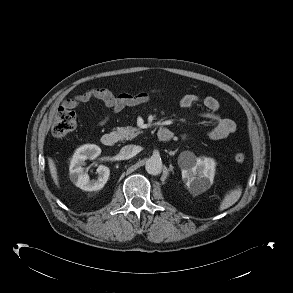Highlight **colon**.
<instances>
[{"label":"colon","instance_id":"5ec220e1","mask_svg":"<svg viewBox=\"0 0 293 293\" xmlns=\"http://www.w3.org/2000/svg\"><path fill=\"white\" fill-rule=\"evenodd\" d=\"M152 92L160 93V89H153ZM77 125L75 113L64 108L60 107L54 117L52 124V134L56 138H64L69 133H71ZM246 159L244 153H237L235 155V161L238 163L243 162Z\"/></svg>","mask_w":293,"mask_h":293}]
</instances>
